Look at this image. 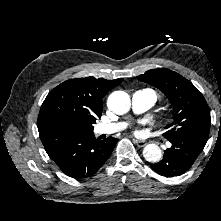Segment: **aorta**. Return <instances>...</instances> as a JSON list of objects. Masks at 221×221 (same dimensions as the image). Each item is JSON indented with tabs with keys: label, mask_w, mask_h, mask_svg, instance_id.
Masks as SVG:
<instances>
[{
	"label": "aorta",
	"mask_w": 221,
	"mask_h": 221,
	"mask_svg": "<svg viewBox=\"0 0 221 221\" xmlns=\"http://www.w3.org/2000/svg\"><path fill=\"white\" fill-rule=\"evenodd\" d=\"M107 106L115 114H126L131 107L130 97L124 91H114L108 97ZM143 156L146 161L157 163L162 158V151L156 144H147L143 149Z\"/></svg>",
	"instance_id": "1"
}]
</instances>
